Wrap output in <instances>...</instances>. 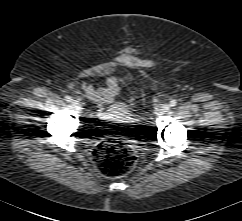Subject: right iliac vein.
I'll return each instance as SVG.
<instances>
[{"mask_svg": "<svg viewBox=\"0 0 242 221\" xmlns=\"http://www.w3.org/2000/svg\"><path fill=\"white\" fill-rule=\"evenodd\" d=\"M72 106H73L76 110H78V109L80 108V103H79L78 101L74 100V101L72 102Z\"/></svg>", "mask_w": 242, "mask_h": 221, "instance_id": "63e3f726", "label": "right iliac vein"}]
</instances>
